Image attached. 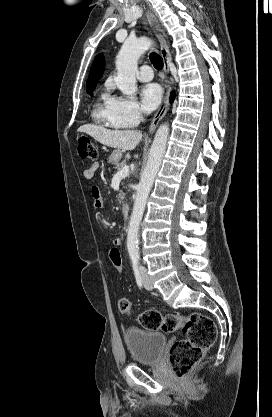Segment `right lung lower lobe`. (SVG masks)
Returning a JSON list of instances; mask_svg holds the SVG:
<instances>
[{
  "instance_id": "98d812e1",
  "label": "right lung lower lobe",
  "mask_w": 272,
  "mask_h": 417,
  "mask_svg": "<svg viewBox=\"0 0 272 417\" xmlns=\"http://www.w3.org/2000/svg\"><path fill=\"white\" fill-rule=\"evenodd\" d=\"M174 98H175V94L172 92L171 93V102L174 100Z\"/></svg>"
}]
</instances>
